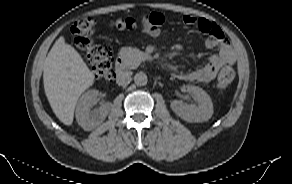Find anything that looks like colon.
<instances>
[{
    "label": "colon",
    "instance_id": "colon-1",
    "mask_svg": "<svg viewBox=\"0 0 292 184\" xmlns=\"http://www.w3.org/2000/svg\"><path fill=\"white\" fill-rule=\"evenodd\" d=\"M95 21L86 17L76 21L71 27V32L76 46L85 53V56L92 66L96 78L111 80L113 78V58L110 49L104 44L97 43L93 39ZM138 25L132 18H122L114 22L117 29H132ZM162 19L151 13L143 21V26L151 36L160 34ZM235 76L234 70L230 66L221 69L218 75L217 86L220 92H224L231 84Z\"/></svg>",
    "mask_w": 292,
    "mask_h": 184
}]
</instances>
